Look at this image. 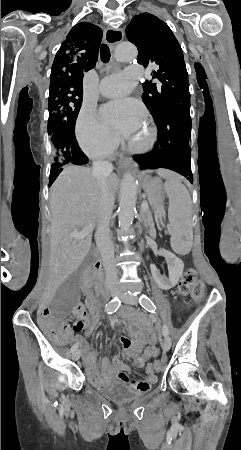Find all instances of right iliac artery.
<instances>
[{
    "mask_svg": "<svg viewBox=\"0 0 241 450\" xmlns=\"http://www.w3.org/2000/svg\"><path fill=\"white\" fill-rule=\"evenodd\" d=\"M120 304H121V301L117 297H115L108 304H106L105 311L108 314H112L115 311H117V309L119 308ZM77 348H78V344L75 343L72 346V348H71V352H74L75 350H77Z\"/></svg>",
    "mask_w": 241,
    "mask_h": 450,
    "instance_id": "82829eb1",
    "label": "right iliac artery"
}]
</instances>
